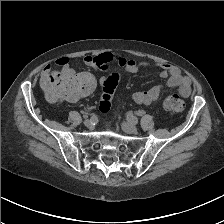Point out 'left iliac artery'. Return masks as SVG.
I'll return each mask as SVG.
<instances>
[{
    "label": "left iliac artery",
    "mask_w": 224,
    "mask_h": 224,
    "mask_svg": "<svg viewBox=\"0 0 224 224\" xmlns=\"http://www.w3.org/2000/svg\"><path fill=\"white\" fill-rule=\"evenodd\" d=\"M127 119L132 122L133 124H137L138 123V118L133 116L132 114H128L127 115Z\"/></svg>",
    "instance_id": "1"
}]
</instances>
